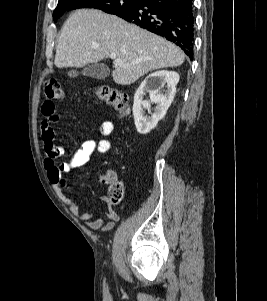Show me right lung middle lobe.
I'll return each instance as SVG.
<instances>
[{
  "instance_id": "right-lung-middle-lobe-1",
  "label": "right lung middle lobe",
  "mask_w": 267,
  "mask_h": 301,
  "mask_svg": "<svg viewBox=\"0 0 267 301\" xmlns=\"http://www.w3.org/2000/svg\"><path fill=\"white\" fill-rule=\"evenodd\" d=\"M138 0H59L53 13L56 21L65 11L77 8L100 9L110 14H121L130 10Z\"/></svg>"
}]
</instances>
